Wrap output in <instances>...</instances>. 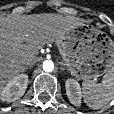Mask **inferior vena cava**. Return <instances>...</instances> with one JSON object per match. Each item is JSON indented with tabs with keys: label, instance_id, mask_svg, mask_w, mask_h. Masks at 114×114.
Returning a JSON list of instances; mask_svg holds the SVG:
<instances>
[{
	"label": "inferior vena cava",
	"instance_id": "inferior-vena-cava-1",
	"mask_svg": "<svg viewBox=\"0 0 114 114\" xmlns=\"http://www.w3.org/2000/svg\"><path fill=\"white\" fill-rule=\"evenodd\" d=\"M27 66H33L34 64H35V61H33V60H28V61H26V63H25Z\"/></svg>",
	"mask_w": 114,
	"mask_h": 114
}]
</instances>
